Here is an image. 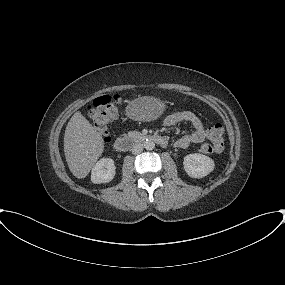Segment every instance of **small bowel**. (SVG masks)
<instances>
[{"instance_id":"small-bowel-1","label":"small bowel","mask_w":285,"mask_h":285,"mask_svg":"<svg viewBox=\"0 0 285 285\" xmlns=\"http://www.w3.org/2000/svg\"><path fill=\"white\" fill-rule=\"evenodd\" d=\"M179 123L190 124L193 131L176 139L174 145L177 148L185 149L192 144L203 142L208 137V130H206L202 121L191 111H178L169 115L164 120L166 126H174Z\"/></svg>"}]
</instances>
